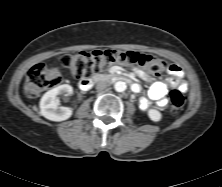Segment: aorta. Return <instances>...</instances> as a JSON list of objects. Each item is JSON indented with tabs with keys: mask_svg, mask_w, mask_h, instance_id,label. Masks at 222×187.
Here are the masks:
<instances>
[{
	"mask_svg": "<svg viewBox=\"0 0 222 187\" xmlns=\"http://www.w3.org/2000/svg\"><path fill=\"white\" fill-rule=\"evenodd\" d=\"M114 89L117 91V92H123L126 90V83L123 82V81H118L114 84Z\"/></svg>",
	"mask_w": 222,
	"mask_h": 187,
	"instance_id": "aorta-1",
	"label": "aorta"
}]
</instances>
